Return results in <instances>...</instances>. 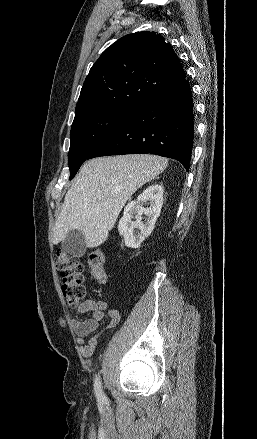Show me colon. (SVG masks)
<instances>
[{
  "label": "colon",
  "instance_id": "5ec220e1",
  "mask_svg": "<svg viewBox=\"0 0 257 439\" xmlns=\"http://www.w3.org/2000/svg\"><path fill=\"white\" fill-rule=\"evenodd\" d=\"M88 263L93 276L100 282H104V255L97 249L90 253ZM56 266L62 275V293L66 302L71 307L80 304L86 294L83 278V265L77 257L65 252L58 251Z\"/></svg>",
  "mask_w": 257,
  "mask_h": 439
}]
</instances>
